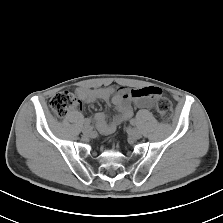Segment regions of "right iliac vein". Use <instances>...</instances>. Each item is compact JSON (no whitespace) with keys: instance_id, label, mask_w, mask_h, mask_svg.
<instances>
[{"instance_id":"63e3f726","label":"right iliac vein","mask_w":223,"mask_h":223,"mask_svg":"<svg viewBox=\"0 0 223 223\" xmlns=\"http://www.w3.org/2000/svg\"><path fill=\"white\" fill-rule=\"evenodd\" d=\"M82 131H83V133H84L85 135H89V134H91V132H92V127L89 126V125L84 126L83 129H82Z\"/></svg>"}]
</instances>
